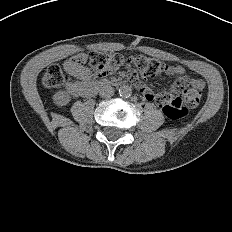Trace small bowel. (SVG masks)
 <instances>
[{"label": "small bowel", "instance_id": "small-bowel-1", "mask_svg": "<svg viewBox=\"0 0 232 232\" xmlns=\"http://www.w3.org/2000/svg\"><path fill=\"white\" fill-rule=\"evenodd\" d=\"M75 58H72L65 63V69L74 78H76V80L69 81L66 85V88L68 92L73 96H89L87 86L88 84H90L91 72L85 66L77 64L75 62ZM125 70V79L129 82H133L147 101L156 102V97L153 95V93L141 82L138 81V74L135 71L136 62L134 60H127L125 62ZM166 73L169 76H183L185 74V69L180 65L168 66L166 69ZM191 85L202 90L205 83L201 79H193L191 81ZM157 105L161 108L159 104Z\"/></svg>", "mask_w": 232, "mask_h": 232}]
</instances>
